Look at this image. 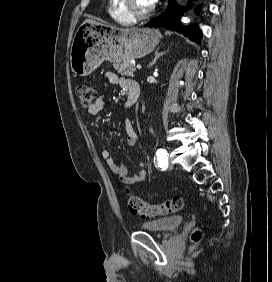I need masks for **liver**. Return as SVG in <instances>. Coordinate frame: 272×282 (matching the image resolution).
Listing matches in <instances>:
<instances>
[{
    "label": "liver",
    "instance_id": "1",
    "mask_svg": "<svg viewBox=\"0 0 272 282\" xmlns=\"http://www.w3.org/2000/svg\"><path fill=\"white\" fill-rule=\"evenodd\" d=\"M87 22L95 23V21H92V20H90V19H87V20L84 21V23H87Z\"/></svg>",
    "mask_w": 272,
    "mask_h": 282
}]
</instances>
